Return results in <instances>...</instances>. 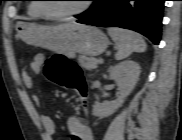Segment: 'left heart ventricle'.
<instances>
[{
    "label": "left heart ventricle",
    "instance_id": "left-heart-ventricle-1",
    "mask_svg": "<svg viewBox=\"0 0 182 140\" xmlns=\"http://www.w3.org/2000/svg\"><path fill=\"white\" fill-rule=\"evenodd\" d=\"M84 1L81 0H52L46 4V8L54 13H66L75 11L82 7Z\"/></svg>",
    "mask_w": 182,
    "mask_h": 140
}]
</instances>
